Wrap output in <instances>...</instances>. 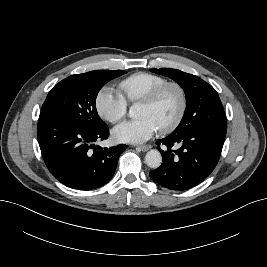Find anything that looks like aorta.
<instances>
[{"mask_svg": "<svg viewBox=\"0 0 267 267\" xmlns=\"http://www.w3.org/2000/svg\"><path fill=\"white\" fill-rule=\"evenodd\" d=\"M129 116L130 117L134 116V110L132 107L130 108ZM145 162L147 166L150 168L156 169L160 167L162 163L161 153L158 150H154V149L150 150L149 152H147L145 156Z\"/></svg>", "mask_w": 267, "mask_h": 267, "instance_id": "1", "label": "aorta"}]
</instances>
